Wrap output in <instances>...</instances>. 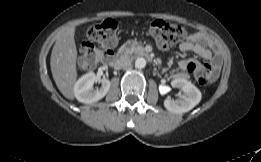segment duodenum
<instances>
[{"mask_svg": "<svg viewBox=\"0 0 261 162\" xmlns=\"http://www.w3.org/2000/svg\"><path fill=\"white\" fill-rule=\"evenodd\" d=\"M131 53L135 56H140L146 59L149 58V53L143 48L134 47L131 49ZM120 61L121 59L114 52H107L104 58V64L110 67L118 66Z\"/></svg>", "mask_w": 261, "mask_h": 162, "instance_id": "duodenum-1", "label": "duodenum"}]
</instances>
